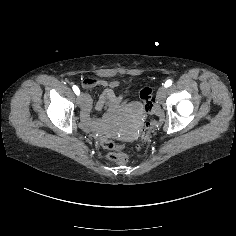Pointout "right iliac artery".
Masks as SVG:
<instances>
[{
  "instance_id": "obj_1",
  "label": "right iliac artery",
  "mask_w": 236,
  "mask_h": 236,
  "mask_svg": "<svg viewBox=\"0 0 236 236\" xmlns=\"http://www.w3.org/2000/svg\"><path fill=\"white\" fill-rule=\"evenodd\" d=\"M73 91L75 92L76 95L80 94V90L76 85H73Z\"/></svg>"
}]
</instances>
